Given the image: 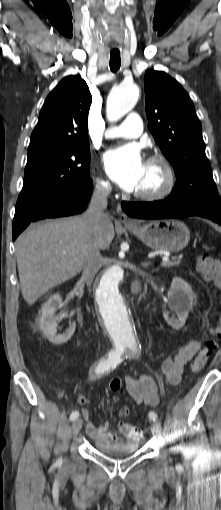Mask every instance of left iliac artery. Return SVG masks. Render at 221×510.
<instances>
[{
    "label": "left iliac artery",
    "instance_id": "44dca946",
    "mask_svg": "<svg viewBox=\"0 0 221 510\" xmlns=\"http://www.w3.org/2000/svg\"><path fill=\"white\" fill-rule=\"evenodd\" d=\"M149 418L155 421L157 419V414L154 411H150Z\"/></svg>",
    "mask_w": 221,
    "mask_h": 510
}]
</instances>
